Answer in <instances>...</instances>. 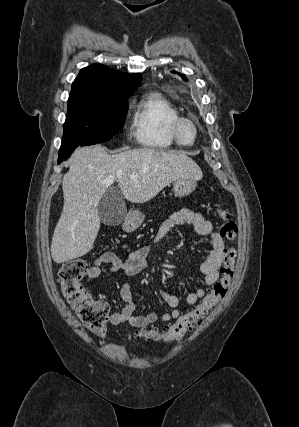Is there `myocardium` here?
<instances>
[{"label": "myocardium", "instance_id": "myocardium-1", "mask_svg": "<svg viewBox=\"0 0 299 427\" xmlns=\"http://www.w3.org/2000/svg\"><path fill=\"white\" fill-rule=\"evenodd\" d=\"M183 123L190 124L193 128V131H194L193 139L189 142L184 141L181 137V134H180V128H181V125ZM169 132H170L171 137L175 141V143H177L178 145H180V146H191L196 142V140L198 138L199 130H198V125L195 122V120H193L192 118L187 117V116H180L179 115L171 121V123L169 125Z\"/></svg>", "mask_w": 299, "mask_h": 427}]
</instances>
